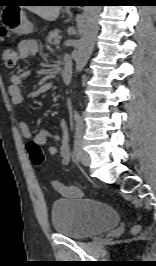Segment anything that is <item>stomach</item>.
<instances>
[{
  "label": "stomach",
  "mask_w": 156,
  "mask_h": 266,
  "mask_svg": "<svg viewBox=\"0 0 156 266\" xmlns=\"http://www.w3.org/2000/svg\"><path fill=\"white\" fill-rule=\"evenodd\" d=\"M6 26L10 31L18 34H27L32 31V25L27 21L22 10H15L10 14Z\"/></svg>",
  "instance_id": "1"
}]
</instances>
